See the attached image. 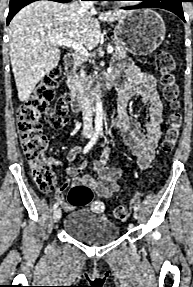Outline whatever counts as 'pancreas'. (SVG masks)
Masks as SVG:
<instances>
[{
  "mask_svg": "<svg viewBox=\"0 0 193 287\" xmlns=\"http://www.w3.org/2000/svg\"><path fill=\"white\" fill-rule=\"evenodd\" d=\"M114 48H115V53H114V57H124L126 55V47L124 45L123 42L120 41H115L113 43ZM76 68H74L73 70V74H74V82L76 84V87L78 89H80L82 87V83L80 81V78L77 76L76 74ZM91 79V78H90ZM92 80V79H91Z\"/></svg>",
  "mask_w": 193,
  "mask_h": 287,
  "instance_id": "obj_1",
  "label": "pancreas"
}]
</instances>
